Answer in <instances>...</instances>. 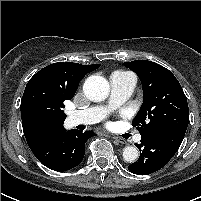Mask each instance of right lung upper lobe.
Instances as JSON below:
<instances>
[{
	"label": "right lung upper lobe",
	"instance_id": "1",
	"mask_svg": "<svg viewBox=\"0 0 201 201\" xmlns=\"http://www.w3.org/2000/svg\"><path fill=\"white\" fill-rule=\"evenodd\" d=\"M100 64L81 65L72 62H58L48 65L37 72L27 83L23 96L28 87L36 81L46 82L62 91L72 99L81 79L89 72L97 69ZM22 126L27 143L30 146L41 142L47 137L64 129L65 118L44 119L28 113L21 103Z\"/></svg>",
	"mask_w": 201,
	"mask_h": 201
}]
</instances>
